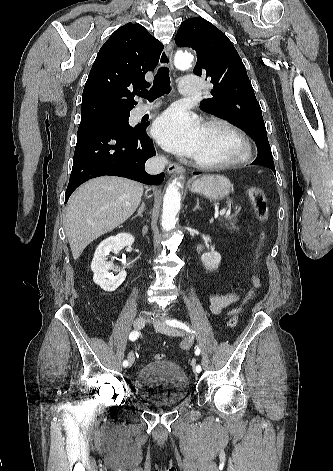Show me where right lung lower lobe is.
Here are the masks:
<instances>
[{
  "label": "right lung lower lobe",
  "mask_w": 333,
  "mask_h": 471,
  "mask_svg": "<svg viewBox=\"0 0 333 471\" xmlns=\"http://www.w3.org/2000/svg\"><path fill=\"white\" fill-rule=\"evenodd\" d=\"M148 124L136 127L116 122L79 126L65 202L85 181L104 175L121 176L144 184H160L164 174L150 175L145 162L156 154L146 134Z\"/></svg>",
  "instance_id": "98d812e1"
}]
</instances>
